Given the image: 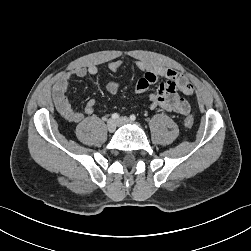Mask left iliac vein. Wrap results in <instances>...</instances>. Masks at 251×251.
<instances>
[{"label": "left iliac vein", "mask_w": 251, "mask_h": 251, "mask_svg": "<svg viewBox=\"0 0 251 251\" xmlns=\"http://www.w3.org/2000/svg\"><path fill=\"white\" fill-rule=\"evenodd\" d=\"M118 125H124V124H131V120L127 117H121L119 120H117Z\"/></svg>", "instance_id": "4c4485c4"}]
</instances>
